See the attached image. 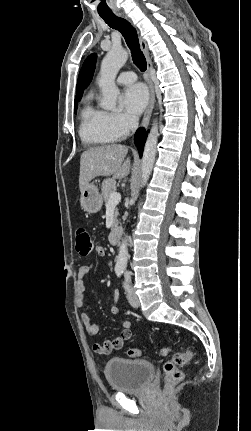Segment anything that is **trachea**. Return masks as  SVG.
Segmentation results:
<instances>
[{
	"mask_svg": "<svg viewBox=\"0 0 251 431\" xmlns=\"http://www.w3.org/2000/svg\"><path fill=\"white\" fill-rule=\"evenodd\" d=\"M100 16L111 28L118 30L122 34L127 46L131 50L134 64L140 69V71H145L147 68V62L143 52L140 50L136 29L127 20L119 18L113 13L102 14Z\"/></svg>",
	"mask_w": 251,
	"mask_h": 431,
	"instance_id": "1",
	"label": "trachea"
}]
</instances>
